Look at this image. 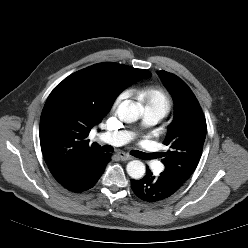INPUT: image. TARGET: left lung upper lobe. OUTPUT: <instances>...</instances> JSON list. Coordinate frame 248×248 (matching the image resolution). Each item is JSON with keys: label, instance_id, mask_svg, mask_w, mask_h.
<instances>
[{"label": "left lung upper lobe", "instance_id": "1", "mask_svg": "<svg viewBox=\"0 0 248 248\" xmlns=\"http://www.w3.org/2000/svg\"><path fill=\"white\" fill-rule=\"evenodd\" d=\"M158 75L175 103V117L164 141L170 150L162 160V175L178 190L198 165L207 132L206 120L195 95L179 77L163 70Z\"/></svg>", "mask_w": 248, "mask_h": 248}]
</instances>
